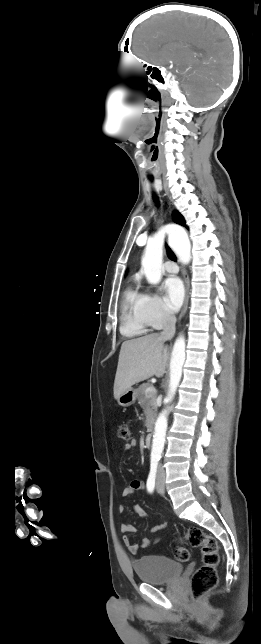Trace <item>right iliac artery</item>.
<instances>
[{"instance_id":"right-iliac-artery-1","label":"right iliac artery","mask_w":261,"mask_h":644,"mask_svg":"<svg viewBox=\"0 0 261 644\" xmlns=\"http://www.w3.org/2000/svg\"><path fill=\"white\" fill-rule=\"evenodd\" d=\"M157 465H158V460L152 459L151 460V465H150V473L147 479V490L148 492L152 493L155 488V478H156V471H157Z\"/></svg>"}]
</instances>
